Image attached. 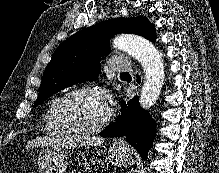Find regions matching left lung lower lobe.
I'll use <instances>...</instances> for the list:
<instances>
[{"instance_id":"obj_1","label":"left lung lower lobe","mask_w":219,"mask_h":173,"mask_svg":"<svg viewBox=\"0 0 219 173\" xmlns=\"http://www.w3.org/2000/svg\"><path fill=\"white\" fill-rule=\"evenodd\" d=\"M140 78L137 79L139 82ZM121 115L107 126L102 137L127 136V141L143 159L147 158L156 134V123L150 114L139 105V99L133 98L128 103L121 102Z\"/></svg>"}]
</instances>
